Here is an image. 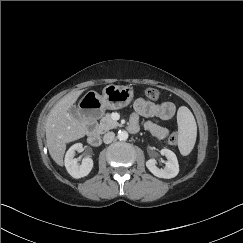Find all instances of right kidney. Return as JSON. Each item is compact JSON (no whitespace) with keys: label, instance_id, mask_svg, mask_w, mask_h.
Segmentation results:
<instances>
[{"label":"right kidney","instance_id":"right-kidney-1","mask_svg":"<svg viewBox=\"0 0 243 243\" xmlns=\"http://www.w3.org/2000/svg\"><path fill=\"white\" fill-rule=\"evenodd\" d=\"M82 149L81 143L72 145L65 155V167L68 173L76 179L87 176L93 168V160L91 158H83L81 164L74 158L75 152Z\"/></svg>","mask_w":243,"mask_h":243}]
</instances>
